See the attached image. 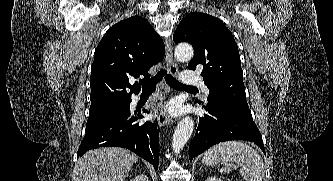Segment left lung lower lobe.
Masks as SVG:
<instances>
[{
    "mask_svg": "<svg viewBox=\"0 0 333 181\" xmlns=\"http://www.w3.org/2000/svg\"><path fill=\"white\" fill-rule=\"evenodd\" d=\"M200 104L207 113L199 118L198 128L189 146L190 161L212 145L228 140L254 142L265 153L261 133L251 112L228 108L213 101Z\"/></svg>",
    "mask_w": 333,
    "mask_h": 181,
    "instance_id": "1",
    "label": "left lung lower lobe"
}]
</instances>
